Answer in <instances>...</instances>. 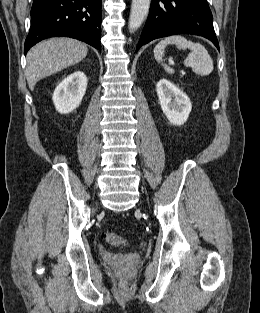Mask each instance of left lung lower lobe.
Listing matches in <instances>:
<instances>
[{
  "label": "left lung lower lobe",
  "instance_id": "obj_1",
  "mask_svg": "<svg viewBox=\"0 0 260 313\" xmlns=\"http://www.w3.org/2000/svg\"><path fill=\"white\" fill-rule=\"evenodd\" d=\"M212 19L207 0H152L136 50L154 39L182 33L203 36L219 50Z\"/></svg>",
  "mask_w": 260,
  "mask_h": 313
}]
</instances>
